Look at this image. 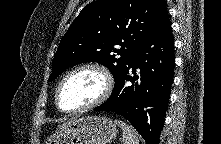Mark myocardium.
Returning a JSON list of instances; mask_svg holds the SVG:
<instances>
[{"instance_id":"myocardium-1","label":"myocardium","mask_w":221,"mask_h":144,"mask_svg":"<svg viewBox=\"0 0 221 144\" xmlns=\"http://www.w3.org/2000/svg\"><path fill=\"white\" fill-rule=\"evenodd\" d=\"M82 70H94L96 72H98L104 81V88L101 92V94L92 102L80 106L78 108H73V109H66L64 107H62L61 102H60V95H61V90L63 85L65 84V82L75 73L82 71ZM113 90V78L111 73L102 65L98 64V63H85V64H81L75 68H73L71 71H69L63 78L62 80L59 82L58 86H57V90H56V94H55V102H56V106L58 107L59 110H61L62 112L65 113H77V112H82L91 108H94L100 104H102L103 102H105L111 92Z\"/></svg>"}]
</instances>
